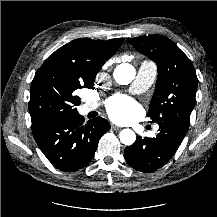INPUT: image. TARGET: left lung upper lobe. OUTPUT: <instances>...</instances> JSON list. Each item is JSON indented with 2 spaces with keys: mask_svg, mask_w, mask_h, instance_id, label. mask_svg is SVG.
<instances>
[{
  "mask_svg": "<svg viewBox=\"0 0 217 217\" xmlns=\"http://www.w3.org/2000/svg\"><path fill=\"white\" fill-rule=\"evenodd\" d=\"M140 53L155 61L158 78L148 117L158 125L167 122L188 131L198 79L190 59L164 36L129 38Z\"/></svg>",
  "mask_w": 217,
  "mask_h": 217,
  "instance_id": "obj_1",
  "label": "left lung upper lobe"
}]
</instances>
